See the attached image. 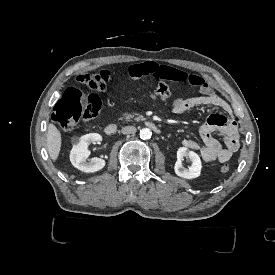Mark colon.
I'll return each mask as SVG.
<instances>
[{"mask_svg":"<svg viewBox=\"0 0 275 275\" xmlns=\"http://www.w3.org/2000/svg\"><path fill=\"white\" fill-rule=\"evenodd\" d=\"M78 83H89L95 94H106L108 86L102 83L99 72H78L76 75ZM150 97L155 101H162L172 96V89L163 80H156L151 85ZM94 93H85L81 90L67 88L53 108V119L63 131L75 128L80 122L97 117L101 109V101ZM221 172L226 174L230 166L223 163Z\"/></svg>","mask_w":275,"mask_h":275,"instance_id":"colon-1","label":"colon"}]
</instances>
